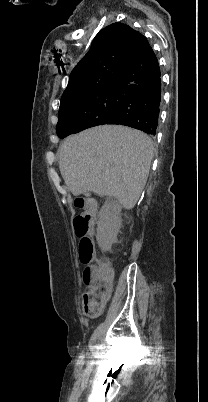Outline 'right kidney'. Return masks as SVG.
I'll return each instance as SVG.
<instances>
[{
	"label": "right kidney",
	"instance_id": "ca27d5eb",
	"mask_svg": "<svg viewBox=\"0 0 208 402\" xmlns=\"http://www.w3.org/2000/svg\"><path fill=\"white\" fill-rule=\"evenodd\" d=\"M121 208L114 200H107L99 212L96 240L102 252H107L111 244L116 242L117 234L122 226Z\"/></svg>",
	"mask_w": 208,
	"mask_h": 402
}]
</instances>
